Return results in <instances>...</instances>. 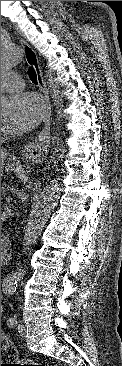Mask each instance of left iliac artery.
Masks as SVG:
<instances>
[{
	"label": "left iliac artery",
	"mask_w": 122,
	"mask_h": 366,
	"mask_svg": "<svg viewBox=\"0 0 122 366\" xmlns=\"http://www.w3.org/2000/svg\"><path fill=\"white\" fill-rule=\"evenodd\" d=\"M16 324H17V320H16V318H14V317H11V318H9V319L7 320V325H8L9 327H15V326H16Z\"/></svg>",
	"instance_id": "44dca946"
}]
</instances>
